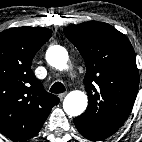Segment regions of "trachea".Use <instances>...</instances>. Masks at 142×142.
I'll list each match as a JSON object with an SVG mask.
<instances>
[{
	"instance_id": "1",
	"label": "trachea",
	"mask_w": 142,
	"mask_h": 142,
	"mask_svg": "<svg viewBox=\"0 0 142 142\" xmlns=\"http://www.w3.org/2000/svg\"><path fill=\"white\" fill-rule=\"evenodd\" d=\"M65 91V87L61 82H55L50 88V92L52 93H63Z\"/></svg>"
}]
</instances>
